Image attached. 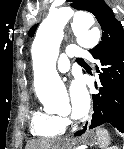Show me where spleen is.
<instances>
[{
  "label": "spleen",
  "mask_w": 124,
  "mask_h": 149,
  "mask_svg": "<svg viewBox=\"0 0 124 149\" xmlns=\"http://www.w3.org/2000/svg\"><path fill=\"white\" fill-rule=\"evenodd\" d=\"M96 135L100 148L105 149L110 144L108 131L105 129H97Z\"/></svg>",
  "instance_id": "spleen-1"
}]
</instances>
